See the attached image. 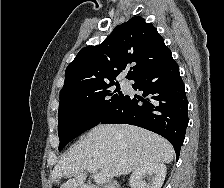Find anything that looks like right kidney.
I'll return each mask as SVG.
<instances>
[{"instance_id":"ca27d5eb","label":"right kidney","mask_w":224,"mask_h":188,"mask_svg":"<svg viewBox=\"0 0 224 188\" xmlns=\"http://www.w3.org/2000/svg\"><path fill=\"white\" fill-rule=\"evenodd\" d=\"M149 177L146 184L143 178ZM166 176V166L163 163H150L135 170L129 181L131 188H161Z\"/></svg>"}]
</instances>
